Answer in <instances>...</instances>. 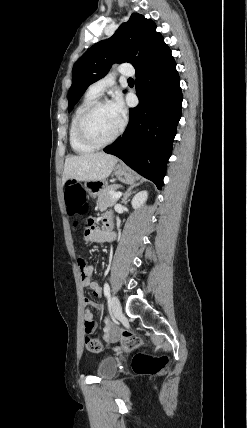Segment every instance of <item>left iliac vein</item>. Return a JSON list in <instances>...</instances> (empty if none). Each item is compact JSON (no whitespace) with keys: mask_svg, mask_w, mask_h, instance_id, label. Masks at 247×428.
<instances>
[{"mask_svg":"<svg viewBox=\"0 0 247 428\" xmlns=\"http://www.w3.org/2000/svg\"><path fill=\"white\" fill-rule=\"evenodd\" d=\"M110 303L115 317H119L122 314V307L119 299L115 295H112L110 298Z\"/></svg>","mask_w":247,"mask_h":428,"instance_id":"4c4485c4","label":"left iliac vein"}]
</instances>
